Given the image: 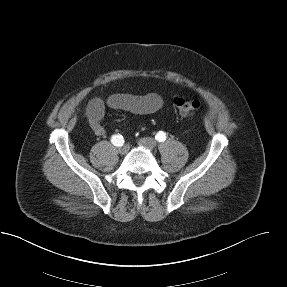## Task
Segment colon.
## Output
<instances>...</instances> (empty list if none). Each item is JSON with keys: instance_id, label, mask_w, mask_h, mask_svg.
Instances as JSON below:
<instances>
[{"instance_id": "colon-1", "label": "colon", "mask_w": 287, "mask_h": 287, "mask_svg": "<svg viewBox=\"0 0 287 287\" xmlns=\"http://www.w3.org/2000/svg\"><path fill=\"white\" fill-rule=\"evenodd\" d=\"M172 104L176 112L183 117L193 116L201 106L198 100L182 96L174 97Z\"/></svg>"}]
</instances>
